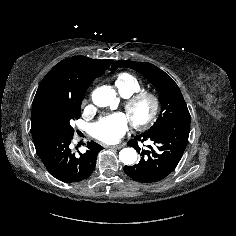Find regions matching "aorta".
<instances>
[{"label": "aorta", "mask_w": 236, "mask_h": 236, "mask_svg": "<svg viewBox=\"0 0 236 236\" xmlns=\"http://www.w3.org/2000/svg\"><path fill=\"white\" fill-rule=\"evenodd\" d=\"M92 100L99 107H107L117 103L116 92L110 87H101L92 94ZM119 159L125 165H131L137 160V152L133 148H123L119 152Z\"/></svg>", "instance_id": "762f6f07"}]
</instances>
